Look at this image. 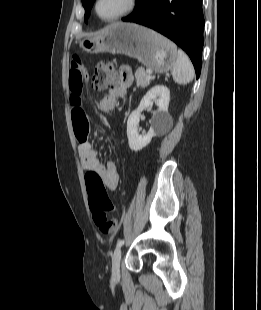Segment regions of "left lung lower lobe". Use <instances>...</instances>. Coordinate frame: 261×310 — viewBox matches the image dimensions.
I'll return each instance as SVG.
<instances>
[{"label": "left lung lower lobe", "mask_w": 261, "mask_h": 310, "mask_svg": "<svg viewBox=\"0 0 261 310\" xmlns=\"http://www.w3.org/2000/svg\"><path fill=\"white\" fill-rule=\"evenodd\" d=\"M122 20L152 28L174 41L189 55L199 78L204 29L202 0H137L133 13Z\"/></svg>", "instance_id": "obj_1"}]
</instances>
